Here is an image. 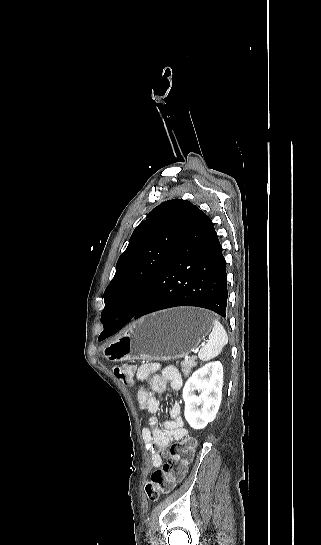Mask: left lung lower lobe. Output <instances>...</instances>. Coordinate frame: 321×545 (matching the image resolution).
Wrapping results in <instances>:
<instances>
[{
    "instance_id": "obj_1",
    "label": "left lung lower lobe",
    "mask_w": 321,
    "mask_h": 545,
    "mask_svg": "<svg viewBox=\"0 0 321 545\" xmlns=\"http://www.w3.org/2000/svg\"><path fill=\"white\" fill-rule=\"evenodd\" d=\"M225 265L214 225L196 206L144 300L133 312L113 310L103 333L110 336L133 318L176 306L202 307L226 317Z\"/></svg>"
}]
</instances>
